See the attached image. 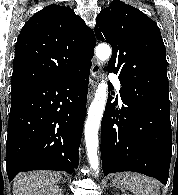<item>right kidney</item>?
<instances>
[{"mask_svg": "<svg viewBox=\"0 0 178 195\" xmlns=\"http://www.w3.org/2000/svg\"><path fill=\"white\" fill-rule=\"evenodd\" d=\"M34 195H63V190L59 186H46L37 191Z\"/></svg>", "mask_w": 178, "mask_h": 195, "instance_id": "1", "label": "right kidney"}]
</instances>
